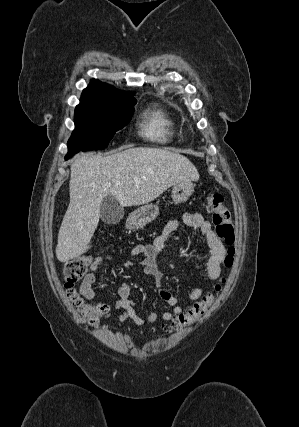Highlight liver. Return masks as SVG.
Segmentation results:
<instances>
[{
	"label": "liver",
	"instance_id": "6515ba94",
	"mask_svg": "<svg viewBox=\"0 0 299 427\" xmlns=\"http://www.w3.org/2000/svg\"><path fill=\"white\" fill-rule=\"evenodd\" d=\"M198 179L187 157L158 148H129L106 157L90 152L76 155L71 164L70 203L58 233L57 259L67 262L88 251L100 204L107 195L122 207L139 206L176 183Z\"/></svg>",
	"mask_w": 299,
	"mask_h": 427
}]
</instances>
